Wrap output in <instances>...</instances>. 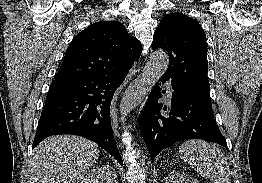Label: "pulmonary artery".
<instances>
[{"instance_id":"1","label":"pulmonary artery","mask_w":262,"mask_h":183,"mask_svg":"<svg viewBox=\"0 0 262 183\" xmlns=\"http://www.w3.org/2000/svg\"><path fill=\"white\" fill-rule=\"evenodd\" d=\"M165 86H166V88H167V90H168L169 96L171 97V94H172V91H173L171 82H166V83H165Z\"/></svg>"}]
</instances>
